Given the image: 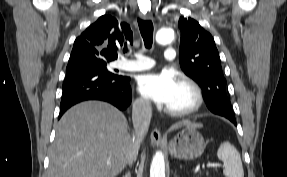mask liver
<instances>
[{"label":"liver","instance_id":"1","mask_svg":"<svg viewBox=\"0 0 287 177\" xmlns=\"http://www.w3.org/2000/svg\"><path fill=\"white\" fill-rule=\"evenodd\" d=\"M183 126L202 127L182 121L171 130ZM131 148L132 137L122 112L105 102H82L57 124L47 177H116L128 163Z\"/></svg>","mask_w":287,"mask_h":177}]
</instances>
